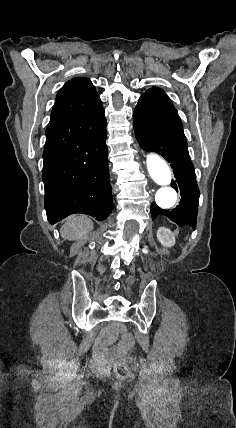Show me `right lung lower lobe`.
Masks as SVG:
<instances>
[{"label":"right lung lower lobe","mask_w":236,"mask_h":428,"mask_svg":"<svg viewBox=\"0 0 236 428\" xmlns=\"http://www.w3.org/2000/svg\"><path fill=\"white\" fill-rule=\"evenodd\" d=\"M106 126L103 107L48 124L43 182L51 224L74 213L104 220L112 211Z\"/></svg>","instance_id":"1"}]
</instances>
